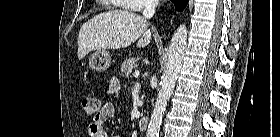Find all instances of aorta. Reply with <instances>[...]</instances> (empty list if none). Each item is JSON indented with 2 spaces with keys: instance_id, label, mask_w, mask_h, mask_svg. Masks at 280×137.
I'll use <instances>...</instances> for the list:
<instances>
[{
  "instance_id": "1",
  "label": "aorta",
  "mask_w": 280,
  "mask_h": 137,
  "mask_svg": "<svg viewBox=\"0 0 280 137\" xmlns=\"http://www.w3.org/2000/svg\"><path fill=\"white\" fill-rule=\"evenodd\" d=\"M186 40L187 28L185 24H182L173 34L168 47V61L161 78V87L148 125L146 137H159L162 118L182 67Z\"/></svg>"
}]
</instances>
